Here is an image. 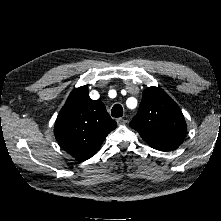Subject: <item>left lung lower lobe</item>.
I'll list each match as a JSON object with an SVG mask.
<instances>
[{
    "mask_svg": "<svg viewBox=\"0 0 221 221\" xmlns=\"http://www.w3.org/2000/svg\"><path fill=\"white\" fill-rule=\"evenodd\" d=\"M151 147L160 151H169L177 148L182 141H167L154 138H143Z\"/></svg>",
    "mask_w": 221,
    "mask_h": 221,
    "instance_id": "0a47b994",
    "label": "left lung lower lobe"
}]
</instances>
